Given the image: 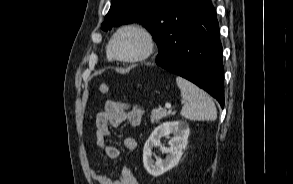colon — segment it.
<instances>
[{"label":"colon","mask_w":293,"mask_h":184,"mask_svg":"<svg viewBox=\"0 0 293 184\" xmlns=\"http://www.w3.org/2000/svg\"><path fill=\"white\" fill-rule=\"evenodd\" d=\"M98 90H99V92L101 94H104V95H106V94H108L110 92L109 86L107 84H105V83L99 84Z\"/></svg>","instance_id":"obj_1"}]
</instances>
